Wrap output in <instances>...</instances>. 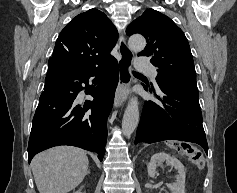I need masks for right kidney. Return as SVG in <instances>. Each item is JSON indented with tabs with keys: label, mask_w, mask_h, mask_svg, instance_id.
Instances as JSON below:
<instances>
[{
	"label": "right kidney",
	"mask_w": 237,
	"mask_h": 193,
	"mask_svg": "<svg viewBox=\"0 0 237 193\" xmlns=\"http://www.w3.org/2000/svg\"><path fill=\"white\" fill-rule=\"evenodd\" d=\"M73 193H82V192L79 190V191H74Z\"/></svg>",
	"instance_id": "ca27d5eb"
}]
</instances>
